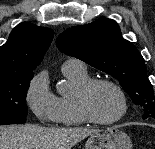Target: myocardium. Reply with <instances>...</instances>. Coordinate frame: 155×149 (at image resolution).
<instances>
[{
	"instance_id": "f54148a6",
	"label": "myocardium",
	"mask_w": 155,
	"mask_h": 149,
	"mask_svg": "<svg viewBox=\"0 0 155 149\" xmlns=\"http://www.w3.org/2000/svg\"><path fill=\"white\" fill-rule=\"evenodd\" d=\"M99 85H108L112 87L120 96L121 103H122V108L120 113L109 120H102L99 119L92 111L90 107V95L93 91V89ZM76 102L78 109L83 116V118L90 123L96 124V125H113L119 121H121L127 114L128 112V100L127 96L124 92V90L121 88L119 84L116 82L110 80V79H105V78H95V79H90L87 81L85 84H83L77 91L76 94Z\"/></svg>"
}]
</instances>
